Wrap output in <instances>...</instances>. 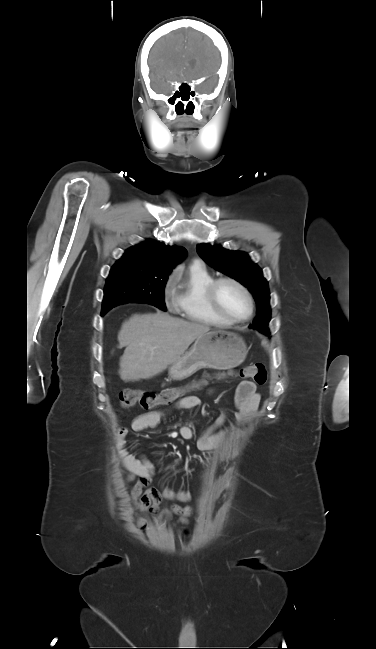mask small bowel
I'll return each instance as SVG.
<instances>
[{"label": "small bowel", "instance_id": "small-bowel-1", "mask_svg": "<svg viewBox=\"0 0 376 649\" xmlns=\"http://www.w3.org/2000/svg\"><path fill=\"white\" fill-rule=\"evenodd\" d=\"M260 402L261 395L257 391L256 384L251 381L240 382L235 395V405L237 409L236 420L238 422L246 420L250 415L257 411ZM200 403L201 401L197 396H188L176 402L175 407L179 410L192 411L196 409ZM166 413L167 412L164 410H156L138 415L132 421L131 428L135 432L154 428L159 425ZM226 417V414L222 413L213 425L209 426L202 432L201 436L197 440V447L199 450L212 451L225 444L234 430V426L221 428L226 421ZM125 435L126 429L123 428L119 431L116 446L121 463L128 472L125 480L128 482L135 481L131 490V496L136 509L139 511H148L158 518H164L166 521H169L172 515L175 514L179 516V523L187 524L191 515L190 508H182L179 505H173L170 511L160 512L158 505L162 498L185 502L190 500L191 495L186 491H175L170 488L164 489L163 491H159L156 488H147L152 482L154 467L147 458L143 456L134 457L128 454L125 449ZM174 435L180 436L184 440H190L194 436V431L190 425L185 424L181 426L178 433L173 434V436ZM222 457L223 454H219L214 459L221 460ZM138 526L142 531H146L147 522L144 519L139 518Z\"/></svg>", "mask_w": 376, "mask_h": 649}]
</instances>
